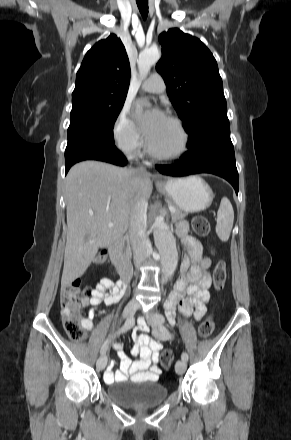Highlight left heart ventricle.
Returning <instances> with one entry per match:
<instances>
[{
    "mask_svg": "<svg viewBox=\"0 0 291 440\" xmlns=\"http://www.w3.org/2000/svg\"><path fill=\"white\" fill-rule=\"evenodd\" d=\"M151 146L164 154H172L180 148V135L171 121L163 118L148 138Z\"/></svg>",
    "mask_w": 291,
    "mask_h": 440,
    "instance_id": "b2bd125f",
    "label": "left heart ventricle"
}]
</instances>
